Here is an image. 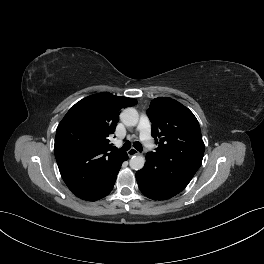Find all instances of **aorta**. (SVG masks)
<instances>
[{
    "instance_id": "1",
    "label": "aorta",
    "mask_w": 264,
    "mask_h": 264,
    "mask_svg": "<svg viewBox=\"0 0 264 264\" xmlns=\"http://www.w3.org/2000/svg\"><path fill=\"white\" fill-rule=\"evenodd\" d=\"M120 120L126 126H135L138 123L139 115L132 107L125 108L120 114ZM145 158L141 155L132 156L129 165L133 170H140L144 167Z\"/></svg>"
}]
</instances>
